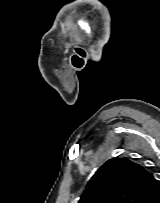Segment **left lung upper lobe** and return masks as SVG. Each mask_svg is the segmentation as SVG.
Here are the masks:
<instances>
[{"mask_svg":"<svg viewBox=\"0 0 160 203\" xmlns=\"http://www.w3.org/2000/svg\"><path fill=\"white\" fill-rule=\"evenodd\" d=\"M158 182L142 165L113 158L91 178L78 203H157Z\"/></svg>","mask_w":160,"mask_h":203,"instance_id":"obj_1","label":"left lung upper lobe"}]
</instances>
